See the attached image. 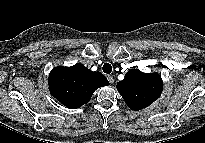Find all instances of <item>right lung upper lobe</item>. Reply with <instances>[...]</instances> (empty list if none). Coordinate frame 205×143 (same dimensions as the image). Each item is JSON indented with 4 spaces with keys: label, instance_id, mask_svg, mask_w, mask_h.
I'll return each instance as SVG.
<instances>
[{
    "label": "right lung upper lobe",
    "instance_id": "obj_1",
    "mask_svg": "<svg viewBox=\"0 0 205 143\" xmlns=\"http://www.w3.org/2000/svg\"><path fill=\"white\" fill-rule=\"evenodd\" d=\"M108 84L101 72H93L81 63L71 67H56L49 75L51 94L70 109L86 104L96 89Z\"/></svg>",
    "mask_w": 205,
    "mask_h": 143
}]
</instances>
